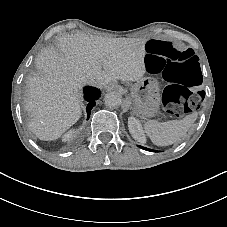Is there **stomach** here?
Returning <instances> with one entry per match:
<instances>
[{
	"label": "stomach",
	"mask_w": 227,
	"mask_h": 227,
	"mask_svg": "<svg viewBox=\"0 0 227 227\" xmlns=\"http://www.w3.org/2000/svg\"><path fill=\"white\" fill-rule=\"evenodd\" d=\"M131 96L135 112L145 117H153L160 107L158 84L151 77L141 78L132 85Z\"/></svg>",
	"instance_id": "obj_1"
}]
</instances>
